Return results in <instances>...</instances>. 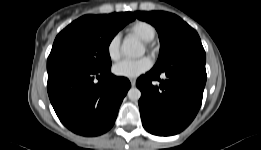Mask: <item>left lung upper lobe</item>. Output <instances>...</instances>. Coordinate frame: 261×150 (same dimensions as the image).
<instances>
[{
  "label": "left lung upper lobe",
  "instance_id": "obj_1",
  "mask_svg": "<svg viewBox=\"0 0 261 150\" xmlns=\"http://www.w3.org/2000/svg\"><path fill=\"white\" fill-rule=\"evenodd\" d=\"M135 16L152 24L159 34L160 53L154 67L165 65L182 49L201 44L197 32L175 14L164 11H137Z\"/></svg>",
  "mask_w": 261,
  "mask_h": 150
}]
</instances>
